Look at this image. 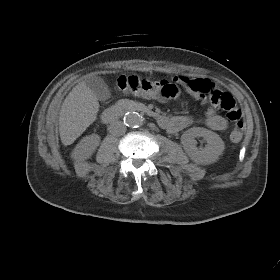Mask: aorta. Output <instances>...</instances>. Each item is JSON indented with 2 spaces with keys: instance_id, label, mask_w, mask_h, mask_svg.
Listing matches in <instances>:
<instances>
[{
  "instance_id": "1",
  "label": "aorta",
  "mask_w": 280,
  "mask_h": 280,
  "mask_svg": "<svg viewBox=\"0 0 280 280\" xmlns=\"http://www.w3.org/2000/svg\"><path fill=\"white\" fill-rule=\"evenodd\" d=\"M143 117L137 112H128L124 116V124L129 127H139L143 124Z\"/></svg>"
}]
</instances>
